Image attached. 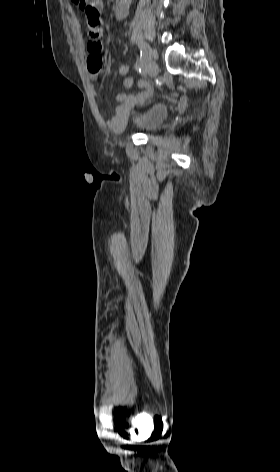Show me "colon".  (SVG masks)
I'll return each mask as SVG.
<instances>
[{
    "label": "colon",
    "instance_id": "5ec220e1",
    "mask_svg": "<svg viewBox=\"0 0 280 472\" xmlns=\"http://www.w3.org/2000/svg\"><path fill=\"white\" fill-rule=\"evenodd\" d=\"M77 5L86 18L90 22L97 23L100 21V2L99 0H71ZM117 71L121 76H127L130 73L129 66L126 64H120L117 67Z\"/></svg>",
    "mask_w": 280,
    "mask_h": 472
}]
</instances>
